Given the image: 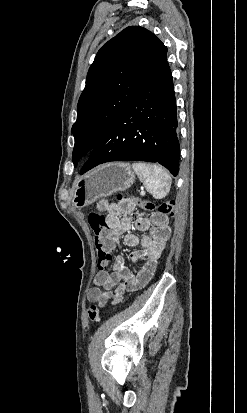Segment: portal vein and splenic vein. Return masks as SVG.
Wrapping results in <instances>:
<instances>
[{
  "label": "portal vein and splenic vein",
  "mask_w": 247,
  "mask_h": 413,
  "mask_svg": "<svg viewBox=\"0 0 247 413\" xmlns=\"http://www.w3.org/2000/svg\"><path fill=\"white\" fill-rule=\"evenodd\" d=\"M140 192H141V196H144V192H143V190H141Z\"/></svg>",
  "instance_id": "portal-vein-and-splenic-vein-1"
}]
</instances>
